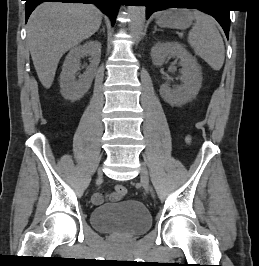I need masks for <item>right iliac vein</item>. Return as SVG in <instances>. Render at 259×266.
Wrapping results in <instances>:
<instances>
[{"mask_svg":"<svg viewBox=\"0 0 259 266\" xmlns=\"http://www.w3.org/2000/svg\"><path fill=\"white\" fill-rule=\"evenodd\" d=\"M98 175H99V177H101V176H102V173H101V171H99V172H98Z\"/></svg>","mask_w":259,"mask_h":266,"instance_id":"63e3f726","label":"right iliac vein"}]
</instances>
